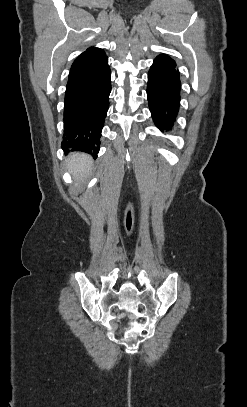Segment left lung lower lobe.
Here are the masks:
<instances>
[{"label":"left lung lower lobe","mask_w":247,"mask_h":407,"mask_svg":"<svg viewBox=\"0 0 247 407\" xmlns=\"http://www.w3.org/2000/svg\"><path fill=\"white\" fill-rule=\"evenodd\" d=\"M179 72L176 63L167 55H159L148 73L147 96L155 125L169 130L176 119L180 105Z\"/></svg>","instance_id":"0a47b994"}]
</instances>
